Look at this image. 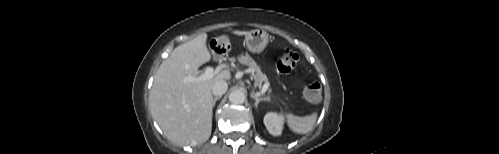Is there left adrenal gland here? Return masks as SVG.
I'll return each mask as SVG.
<instances>
[{
	"label": "left adrenal gland",
	"instance_id": "obj_1",
	"mask_svg": "<svg viewBox=\"0 0 499 154\" xmlns=\"http://www.w3.org/2000/svg\"><path fill=\"white\" fill-rule=\"evenodd\" d=\"M250 97L255 100V108L258 107V104L261 101H266L267 98L260 97L258 93H255L254 91L250 94Z\"/></svg>",
	"mask_w": 499,
	"mask_h": 154
}]
</instances>
